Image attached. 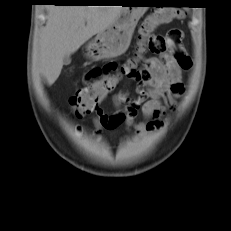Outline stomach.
<instances>
[{"mask_svg":"<svg viewBox=\"0 0 231 231\" xmlns=\"http://www.w3.org/2000/svg\"><path fill=\"white\" fill-rule=\"evenodd\" d=\"M127 2L144 3L139 0ZM147 9L148 7H123L115 21L87 44V56L100 60L115 58L125 53L135 27Z\"/></svg>","mask_w":231,"mask_h":231,"instance_id":"0dacf381","label":"stomach"}]
</instances>
